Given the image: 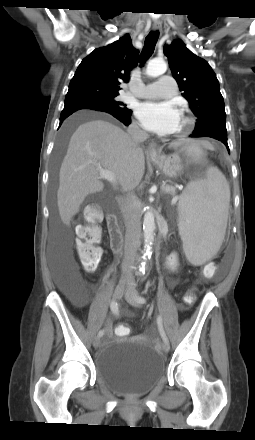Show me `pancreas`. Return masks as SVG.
I'll list each match as a JSON object with an SVG mask.
<instances>
[{
    "label": "pancreas",
    "instance_id": "cf45deb5",
    "mask_svg": "<svg viewBox=\"0 0 255 440\" xmlns=\"http://www.w3.org/2000/svg\"><path fill=\"white\" fill-rule=\"evenodd\" d=\"M170 194H171V195H175V193H174V192H170Z\"/></svg>",
    "mask_w": 255,
    "mask_h": 440
}]
</instances>
